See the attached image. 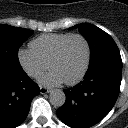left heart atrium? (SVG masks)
Here are the masks:
<instances>
[{
	"mask_svg": "<svg viewBox=\"0 0 128 128\" xmlns=\"http://www.w3.org/2000/svg\"><path fill=\"white\" fill-rule=\"evenodd\" d=\"M39 82L45 86L52 87L58 86L62 84L64 81L54 70H50L47 73L40 76Z\"/></svg>",
	"mask_w": 128,
	"mask_h": 128,
	"instance_id": "obj_1",
	"label": "left heart atrium"
}]
</instances>
